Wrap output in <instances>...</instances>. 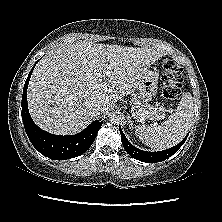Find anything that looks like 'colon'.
Returning <instances> with one entry per match:
<instances>
[{"mask_svg":"<svg viewBox=\"0 0 222 222\" xmlns=\"http://www.w3.org/2000/svg\"><path fill=\"white\" fill-rule=\"evenodd\" d=\"M162 68L163 97L167 100H173L177 98L182 91V69L171 60H165Z\"/></svg>","mask_w":222,"mask_h":222,"instance_id":"1","label":"colon"}]
</instances>
